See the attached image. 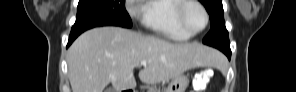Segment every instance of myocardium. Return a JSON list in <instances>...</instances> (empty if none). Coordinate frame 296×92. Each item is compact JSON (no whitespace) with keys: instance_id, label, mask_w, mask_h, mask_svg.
I'll use <instances>...</instances> for the list:
<instances>
[{"instance_id":"obj_1","label":"myocardium","mask_w":296,"mask_h":92,"mask_svg":"<svg viewBox=\"0 0 296 92\" xmlns=\"http://www.w3.org/2000/svg\"><path fill=\"white\" fill-rule=\"evenodd\" d=\"M190 5H196L198 6L203 14H204V17H205V24L203 26L202 29L198 30V31H191L189 29V27L187 26L186 24V21H185V12L187 10V8L190 6ZM177 22L179 24V26L190 36H195V35H198L200 33H202L207 27H208V24H209V14L207 12V10L205 9V7L198 1H195V0H188V1H184L181 6L179 7L178 9V12H177Z\"/></svg>"}]
</instances>
